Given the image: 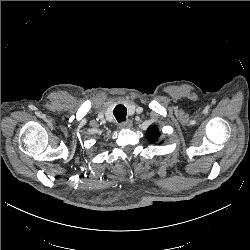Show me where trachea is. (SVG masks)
<instances>
[{
    "mask_svg": "<svg viewBox=\"0 0 250 250\" xmlns=\"http://www.w3.org/2000/svg\"><path fill=\"white\" fill-rule=\"evenodd\" d=\"M113 114L119 123L123 122L126 120L127 109L124 105L119 104L114 108Z\"/></svg>",
    "mask_w": 250,
    "mask_h": 250,
    "instance_id": "3493384b",
    "label": "trachea"
}]
</instances>
